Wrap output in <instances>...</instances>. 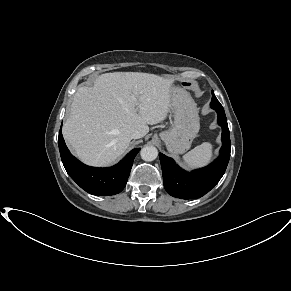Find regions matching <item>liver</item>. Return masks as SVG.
I'll use <instances>...</instances> for the list:
<instances>
[{
    "mask_svg": "<svg viewBox=\"0 0 291 291\" xmlns=\"http://www.w3.org/2000/svg\"><path fill=\"white\" fill-rule=\"evenodd\" d=\"M171 88V80L154 74H102L75 93L63 136L83 162L108 165L127 150L134 130L145 136L148 125L166 119Z\"/></svg>",
    "mask_w": 291,
    "mask_h": 291,
    "instance_id": "liver-1",
    "label": "liver"
}]
</instances>
